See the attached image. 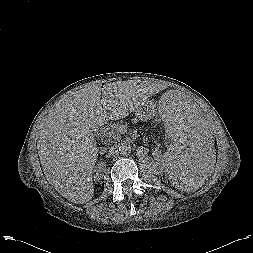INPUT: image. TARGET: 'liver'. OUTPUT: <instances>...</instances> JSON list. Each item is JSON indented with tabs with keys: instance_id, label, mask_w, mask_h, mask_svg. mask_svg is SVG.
I'll use <instances>...</instances> for the list:
<instances>
[{
	"instance_id": "6515ba94",
	"label": "liver",
	"mask_w": 253,
	"mask_h": 253,
	"mask_svg": "<svg viewBox=\"0 0 253 253\" xmlns=\"http://www.w3.org/2000/svg\"><path fill=\"white\" fill-rule=\"evenodd\" d=\"M154 93L153 87L133 81L94 84L58 103L42 120L39 158L46 179L60 195L76 204L93 198L98 156L93 130L127 117Z\"/></svg>"
}]
</instances>
